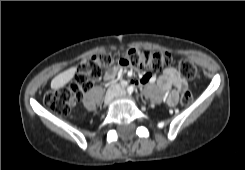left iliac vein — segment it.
I'll return each instance as SVG.
<instances>
[{
	"label": "left iliac vein",
	"mask_w": 245,
	"mask_h": 170,
	"mask_svg": "<svg viewBox=\"0 0 245 170\" xmlns=\"http://www.w3.org/2000/svg\"><path fill=\"white\" fill-rule=\"evenodd\" d=\"M123 96H125V89L124 88H121L118 91L117 97H123Z\"/></svg>",
	"instance_id": "4c4485c4"
}]
</instances>
